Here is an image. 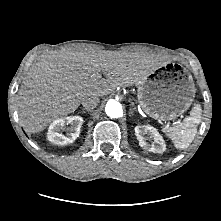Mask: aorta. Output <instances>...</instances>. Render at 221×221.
<instances>
[{"label":"aorta","instance_id":"obj_1","mask_svg":"<svg viewBox=\"0 0 221 221\" xmlns=\"http://www.w3.org/2000/svg\"><path fill=\"white\" fill-rule=\"evenodd\" d=\"M105 112L111 118H118L123 114L122 106L116 100H109L107 102Z\"/></svg>","mask_w":221,"mask_h":221}]
</instances>
